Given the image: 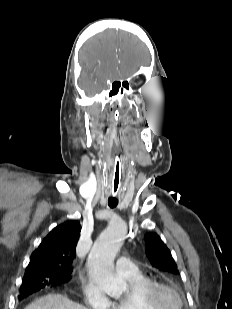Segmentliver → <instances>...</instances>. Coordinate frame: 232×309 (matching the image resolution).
<instances>
[{
  "label": "liver",
  "mask_w": 232,
  "mask_h": 309,
  "mask_svg": "<svg viewBox=\"0 0 232 309\" xmlns=\"http://www.w3.org/2000/svg\"><path fill=\"white\" fill-rule=\"evenodd\" d=\"M24 309H87L77 304L65 295L48 294L30 303Z\"/></svg>",
  "instance_id": "6515ba94"
}]
</instances>
